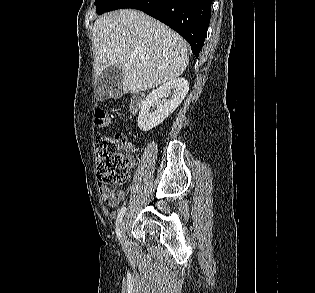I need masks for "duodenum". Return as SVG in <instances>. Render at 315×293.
<instances>
[{
	"instance_id": "duodenum-1",
	"label": "duodenum",
	"mask_w": 315,
	"mask_h": 293,
	"mask_svg": "<svg viewBox=\"0 0 315 293\" xmlns=\"http://www.w3.org/2000/svg\"><path fill=\"white\" fill-rule=\"evenodd\" d=\"M143 100H144V95L142 93H136L133 95L131 99V104H130V109L133 113L139 109Z\"/></svg>"
}]
</instances>
